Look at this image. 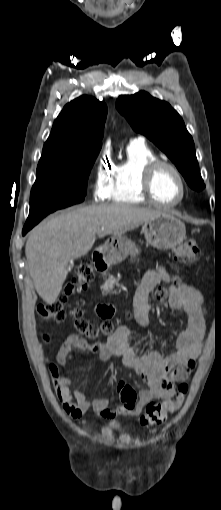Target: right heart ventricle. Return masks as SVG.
Instances as JSON below:
<instances>
[{
  "mask_svg": "<svg viewBox=\"0 0 221 510\" xmlns=\"http://www.w3.org/2000/svg\"><path fill=\"white\" fill-rule=\"evenodd\" d=\"M126 152V159L112 169L109 198L117 203H145L147 200L140 187L141 169L157 156L144 142L139 141H131Z\"/></svg>",
  "mask_w": 221,
  "mask_h": 510,
  "instance_id": "right-heart-ventricle-1",
  "label": "right heart ventricle"
}]
</instances>
